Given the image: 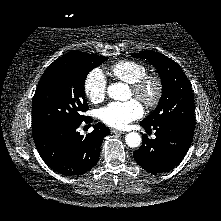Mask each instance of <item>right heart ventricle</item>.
Instances as JSON below:
<instances>
[{
    "label": "right heart ventricle",
    "mask_w": 221,
    "mask_h": 221,
    "mask_svg": "<svg viewBox=\"0 0 221 221\" xmlns=\"http://www.w3.org/2000/svg\"><path fill=\"white\" fill-rule=\"evenodd\" d=\"M111 74L129 85L147 74L144 64L133 60H121L110 67Z\"/></svg>",
    "instance_id": "right-heart-ventricle-1"
}]
</instances>
